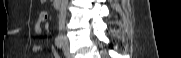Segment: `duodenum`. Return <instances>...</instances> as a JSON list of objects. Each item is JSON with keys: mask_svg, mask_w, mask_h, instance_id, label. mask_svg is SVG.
<instances>
[{"mask_svg": "<svg viewBox=\"0 0 181 58\" xmlns=\"http://www.w3.org/2000/svg\"><path fill=\"white\" fill-rule=\"evenodd\" d=\"M62 4V0H53V5L55 8H60Z\"/></svg>", "mask_w": 181, "mask_h": 58, "instance_id": "1", "label": "duodenum"}]
</instances>
